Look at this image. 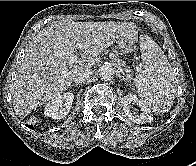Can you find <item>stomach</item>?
<instances>
[{"label": "stomach", "instance_id": "stomach-1", "mask_svg": "<svg viewBox=\"0 0 196 166\" xmlns=\"http://www.w3.org/2000/svg\"><path fill=\"white\" fill-rule=\"evenodd\" d=\"M137 32H128L118 40V48L122 54H130L136 49Z\"/></svg>", "mask_w": 196, "mask_h": 166}]
</instances>
